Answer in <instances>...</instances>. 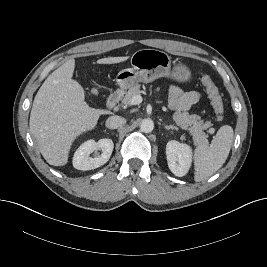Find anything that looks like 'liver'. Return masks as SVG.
<instances>
[{
    "label": "liver",
    "mask_w": 267,
    "mask_h": 267,
    "mask_svg": "<svg viewBox=\"0 0 267 267\" xmlns=\"http://www.w3.org/2000/svg\"><path fill=\"white\" fill-rule=\"evenodd\" d=\"M128 57L99 59V64H116ZM75 60L70 59L52 72L38 90L30 113V130L44 159L54 166L68 162L74 140L97 125L108 111L85 102L83 87L72 79Z\"/></svg>",
    "instance_id": "1"
}]
</instances>
